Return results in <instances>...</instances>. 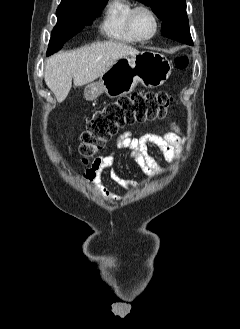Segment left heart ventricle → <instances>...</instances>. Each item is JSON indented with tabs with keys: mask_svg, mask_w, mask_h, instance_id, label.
<instances>
[{
	"mask_svg": "<svg viewBox=\"0 0 240 329\" xmlns=\"http://www.w3.org/2000/svg\"><path fill=\"white\" fill-rule=\"evenodd\" d=\"M135 28L140 36L147 37L154 30V21L147 12L141 11L136 15Z\"/></svg>",
	"mask_w": 240,
	"mask_h": 329,
	"instance_id": "1",
	"label": "left heart ventricle"
}]
</instances>
